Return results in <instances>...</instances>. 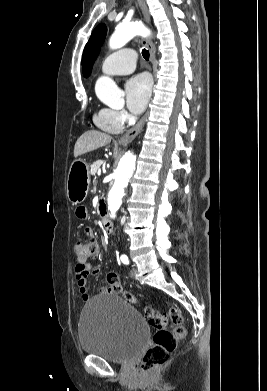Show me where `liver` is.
<instances>
[{
	"mask_svg": "<svg viewBox=\"0 0 267 391\" xmlns=\"http://www.w3.org/2000/svg\"><path fill=\"white\" fill-rule=\"evenodd\" d=\"M112 140V137L109 134L97 131L90 130L83 133L78 140L76 141L74 147V156L78 157L85 153L97 150L107 144Z\"/></svg>",
	"mask_w": 267,
	"mask_h": 391,
	"instance_id": "6515ba94",
	"label": "liver"
}]
</instances>
